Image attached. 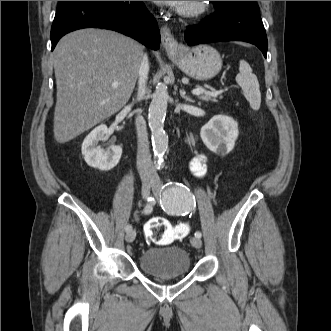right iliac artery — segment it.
Instances as JSON below:
<instances>
[{
  "mask_svg": "<svg viewBox=\"0 0 331 331\" xmlns=\"http://www.w3.org/2000/svg\"><path fill=\"white\" fill-rule=\"evenodd\" d=\"M153 203H154V199L148 198V203L146 204V206L143 209L144 214H150L151 213ZM131 229H132L131 225L126 226V232H129Z\"/></svg>",
  "mask_w": 331,
  "mask_h": 331,
  "instance_id": "82829eb1",
  "label": "right iliac artery"
}]
</instances>
